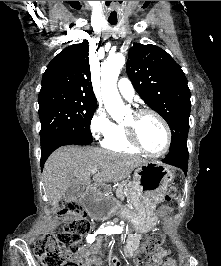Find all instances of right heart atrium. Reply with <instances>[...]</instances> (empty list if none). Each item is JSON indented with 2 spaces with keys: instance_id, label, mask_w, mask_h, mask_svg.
Returning <instances> with one entry per match:
<instances>
[{
  "instance_id": "d8ad5b80",
  "label": "right heart atrium",
  "mask_w": 221,
  "mask_h": 266,
  "mask_svg": "<svg viewBox=\"0 0 221 266\" xmlns=\"http://www.w3.org/2000/svg\"><path fill=\"white\" fill-rule=\"evenodd\" d=\"M114 123L110 120L107 112L98 107L90 121V131L95 139H104L112 131Z\"/></svg>"
}]
</instances>
